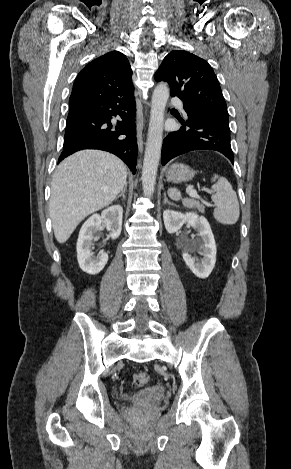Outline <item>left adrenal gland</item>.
<instances>
[{
  "mask_svg": "<svg viewBox=\"0 0 291 469\" xmlns=\"http://www.w3.org/2000/svg\"><path fill=\"white\" fill-rule=\"evenodd\" d=\"M164 204H169V205H174L176 206L174 203L170 202L166 196V193H164Z\"/></svg>",
  "mask_w": 291,
  "mask_h": 469,
  "instance_id": "left-adrenal-gland-1",
  "label": "left adrenal gland"
}]
</instances>
